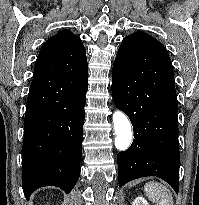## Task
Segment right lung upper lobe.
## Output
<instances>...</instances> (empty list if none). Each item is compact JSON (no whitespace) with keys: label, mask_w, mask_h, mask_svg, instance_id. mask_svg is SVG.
I'll list each match as a JSON object with an SVG mask.
<instances>
[{"label":"right lung upper lobe","mask_w":199,"mask_h":205,"mask_svg":"<svg viewBox=\"0 0 199 205\" xmlns=\"http://www.w3.org/2000/svg\"><path fill=\"white\" fill-rule=\"evenodd\" d=\"M85 74H88V65L81 39L71 31L62 30L42 46L32 82L45 81L51 91H60L65 78Z\"/></svg>","instance_id":"obj_1"}]
</instances>
